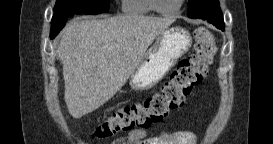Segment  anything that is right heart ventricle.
I'll list each match as a JSON object with an SVG mask.
<instances>
[{
    "mask_svg": "<svg viewBox=\"0 0 273 144\" xmlns=\"http://www.w3.org/2000/svg\"><path fill=\"white\" fill-rule=\"evenodd\" d=\"M122 8L130 16H146L152 11L150 0H124Z\"/></svg>",
    "mask_w": 273,
    "mask_h": 144,
    "instance_id": "e07e8e85",
    "label": "right heart ventricle"
}]
</instances>
